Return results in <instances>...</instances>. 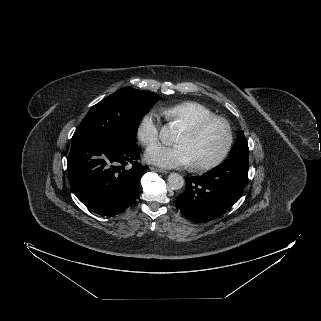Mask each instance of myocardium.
<instances>
[{
  "instance_id": "1",
  "label": "myocardium",
  "mask_w": 321,
  "mask_h": 321,
  "mask_svg": "<svg viewBox=\"0 0 321 321\" xmlns=\"http://www.w3.org/2000/svg\"><path fill=\"white\" fill-rule=\"evenodd\" d=\"M212 123H220L224 127L226 132V140L224 146L220 153L213 160L204 163L191 164V168L194 171H206L217 167L225 160L232 148L234 139L232 126L230 122L224 117L214 115L207 118H203L191 125L185 126L184 130L190 134H198L205 127Z\"/></svg>"
}]
</instances>
